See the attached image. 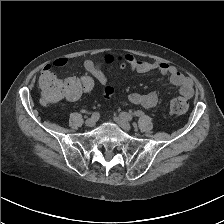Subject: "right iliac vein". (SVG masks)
<instances>
[{"label": "right iliac vein", "instance_id": "right-iliac-vein-1", "mask_svg": "<svg viewBox=\"0 0 224 224\" xmlns=\"http://www.w3.org/2000/svg\"><path fill=\"white\" fill-rule=\"evenodd\" d=\"M85 123L88 127H93L95 125V121L92 118L87 119Z\"/></svg>", "mask_w": 224, "mask_h": 224}]
</instances>
